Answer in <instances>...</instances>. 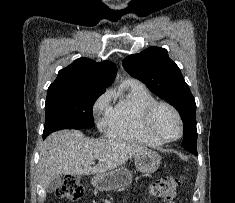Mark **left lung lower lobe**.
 I'll return each instance as SVG.
<instances>
[{
  "label": "left lung lower lobe",
  "mask_w": 235,
  "mask_h": 203,
  "mask_svg": "<svg viewBox=\"0 0 235 203\" xmlns=\"http://www.w3.org/2000/svg\"><path fill=\"white\" fill-rule=\"evenodd\" d=\"M184 138H183V142H182V146L185 148V149H192L190 148V139L192 138V132L189 130V129H184ZM195 153H197V151H195Z\"/></svg>",
  "instance_id": "left-lung-lower-lobe-1"
}]
</instances>
